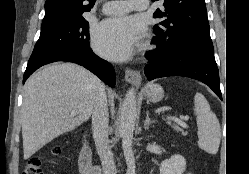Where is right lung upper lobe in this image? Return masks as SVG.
Wrapping results in <instances>:
<instances>
[{"label": "right lung upper lobe", "instance_id": "obj_1", "mask_svg": "<svg viewBox=\"0 0 249 174\" xmlns=\"http://www.w3.org/2000/svg\"><path fill=\"white\" fill-rule=\"evenodd\" d=\"M95 0H46L42 26L81 18L90 11Z\"/></svg>", "mask_w": 249, "mask_h": 174}]
</instances>
